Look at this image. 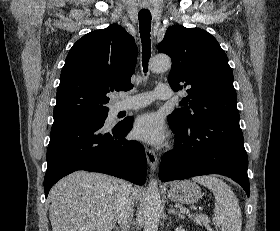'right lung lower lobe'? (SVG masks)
<instances>
[{
  "label": "right lung lower lobe",
  "instance_id": "1",
  "mask_svg": "<svg viewBox=\"0 0 280 231\" xmlns=\"http://www.w3.org/2000/svg\"><path fill=\"white\" fill-rule=\"evenodd\" d=\"M103 125L74 122L52 126L44 178L45 197L58 180L77 170L106 173L138 185L145 183L144 148L137 141L125 139L132 123L108 130Z\"/></svg>",
  "mask_w": 280,
  "mask_h": 231
}]
</instances>
